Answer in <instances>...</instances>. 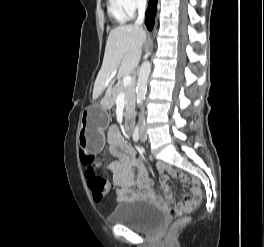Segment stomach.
Wrapping results in <instances>:
<instances>
[{"instance_id": "stomach-1", "label": "stomach", "mask_w": 264, "mask_h": 247, "mask_svg": "<svg viewBox=\"0 0 264 247\" xmlns=\"http://www.w3.org/2000/svg\"><path fill=\"white\" fill-rule=\"evenodd\" d=\"M105 106H100L96 112L88 111L78 132V142L81 148L98 152L104 143V128L107 125Z\"/></svg>"}]
</instances>
